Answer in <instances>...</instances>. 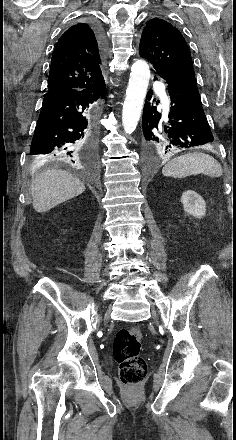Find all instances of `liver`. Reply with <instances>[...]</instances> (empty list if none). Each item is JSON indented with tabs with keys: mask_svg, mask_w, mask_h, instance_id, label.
Listing matches in <instances>:
<instances>
[{
	"mask_svg": "<svg viewBox=\"0 0 236 440\" xmlns=\"http://www.w3.org/2000/svg\"><path fill=\"white\" fill-rule=\"evenodd\" d=\"M84 191V184L71 173L64 170H47L35 177L30 194L35 211L43 213Z\"/></svg>",
	"mask_w": 236,
	"mask_h": 440,
	"instance_id": "1",
	"label": "liver"
}]
</instances>
